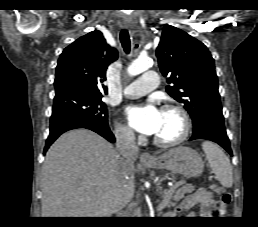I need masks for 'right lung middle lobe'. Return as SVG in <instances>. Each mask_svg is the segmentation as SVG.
<instances>
[{
    "label": "right lung middle lobe",
    "mask_w": 258,
    "mask_h": 227,
    "mask_svg": "<svg viewBox=\"0 0 258 227\" xmlns=\"http://www.w3.org/2000/svg\"><path fill=\"white\" fill-rule=\"evenodd\" d=\"M68 115L93 125L108 126L107 109L102 96L77 91L56 94L52 116Z\"/></svg>",
    "instance_id": "dd1d6c3e"
}]
</instances>
